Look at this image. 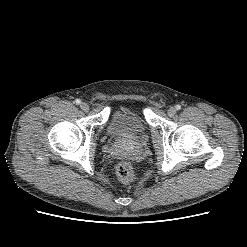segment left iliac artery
I'll return each instance as SVG.
<instances>
[{
    "mask_svg": "<svg viewBox=\"0 0 247 247\" xmlns=\"http://www.w3.org/2000/svg\"><path fill=\"white\" fill-rule=\"evenodd\" d=\"M176 109L177 110H180L181 109V106L180 105H176Z\"/></svg>",
    "mask_w": 247,
    "mask_h": 247,
    "instance_id": "44dca946",
    "label": "left iliac artery"
}]
</instances>
